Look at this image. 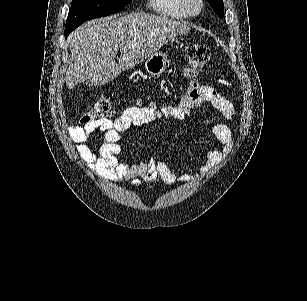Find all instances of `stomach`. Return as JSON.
<instances>
[{
  "instance_id": "stomach-1",
  "label": "stomach",
  "mask_w": 307,
  "mask_h": 301,
  "mask_svg": "<svg viewBox=\"0 0 307 301\" xmlns=\"http://www.w3.org/2000/svg\"><path fill=\"white\" fill-rule=\"evenodd\" d=\"M167 54L165 52H153L145 60V70L151 76H160L167 66Z\"/></svg>"
}]
</instances>
